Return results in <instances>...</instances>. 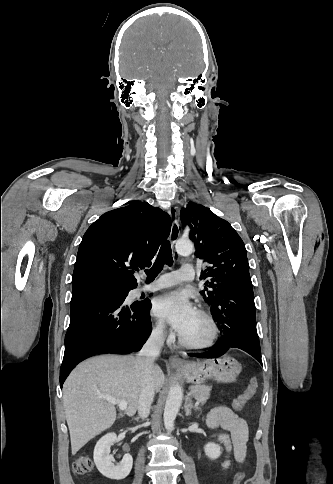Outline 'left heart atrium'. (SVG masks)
Masks as SVG:
<instances>
[{"label":"left heart atrium","instance_id":"1","mask_svg":"<svg viewBox=\"0 0 333 484\" xmlns=\"http://www.w3.org/2000/svg\"><path fill=\"white\" fill-rule=\"evenodd\" d=\"M152 313L155 317L168 322L181 334L197 311L187 293L173 291L160 296L155 301Z\"/></svg>","mask_w":333,"mask_h":484}]
</instances>
